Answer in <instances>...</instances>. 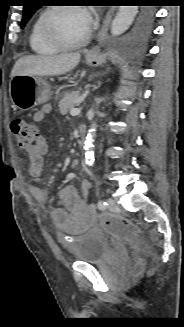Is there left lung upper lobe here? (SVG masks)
I'll return each instance as SVG.
<instances>
[{
  "label": "left lung upper lobe",
  "mask_w": 184,
  "mask_h": 327,
  "mask_svg": "<svg viewBox=\"0 0 184 327\" xmlns=\"http://www.w3.org/2000/svg\"><path fill=\"white\" fill-rule=\"evenodd\" d=\"M39 3V0H26V4L23 9V19L21 21V28L25 26V24L31 18L34 12L40 8Z\"/></svg>",
  "instance_id": "left-lung-upper-lobe-1"
}]
</instances>
